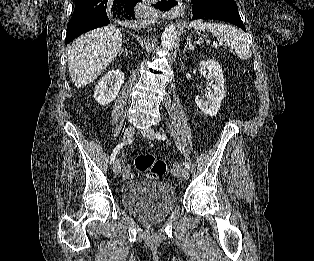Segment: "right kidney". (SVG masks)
Returning a JSON list of instances; mask_svg holds the SVG:
<instances>
[{
    "label": "right kidney",
    "mask_w": 314,
    "mask_h": 261,
    "mask_svg": "<svg viewBox=\"0 0 314 261\" xmlns=\"http://www.w3.org/2000/svg\"><path fill=\"white\" fill-rule=\"evenodd\" d=\"M124 83V73L120 70H111L105 74L97 83L94 91L95 100L106 105L116 99ZM108 85L110 87H108Z\"/></svg>",
    "instance_id": "1"
}]
</instances>
